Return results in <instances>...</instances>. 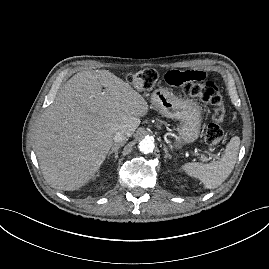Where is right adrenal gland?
Returning <instances> with one entry per match:
<instances>
[{"mask_svg":"<svg viewBox=\"0 0 269 269\" xmlns=\"http://www.w3.org/2000/svg\"><path fill=\"white\" fill-rule=\"evenodd\" d=\"M125 143H118V144H114L112 149L108 152V159L110 157L111 154H115V159L117 160L118 158V150L120 147H122Z\"/></svg>","mask_w":269,"mask_h":269,"instance_id":"right-adrenal-gland-1","label":"right adrenal gland"}]
</instances>
